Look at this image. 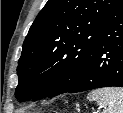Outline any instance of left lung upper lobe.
<instances>
[{"label":"left lung upper lobe","mask_w":123,"mask_h":113,"mask_svg":"<svg viewBox=\"0 0 123 113\" xmlns=\"http://www.w3.org/2000/svg\"><path fill=\"white\" fill-rule=\"evenodd\" d=\"M118 0H48L23 43L19 99L55 97L81 78L105 16Z\"/></svg>","instance_id":"left-lung-upper-lobe-1"}]
</instances>
